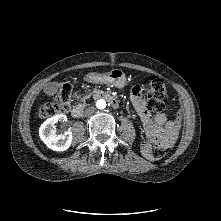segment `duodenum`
<instances>
[{"label": "duodenum", "instance_id": "obj_1", "mask_svg": "<svg viewBox=\"0 0 221 221\" xmlns=\"http://www.w3.org/2000/svg\"><path fill=\"white\" fill-rule=\"evenodd\" d=\"M94 98H102L105 99L106 101H108L110 103V105L114 108H118L119 106V100L112 95L109 92H105V91H96L93 94ZM83 109L81 106H75L72 110H71V115L74 118H79L82 115Z\"/></svg>", "mask_w": 221, "mask_h": 221}]
</instances>
